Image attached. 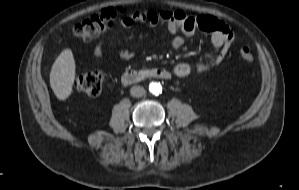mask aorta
Masks as SVG:
<instances>
[{"mask_svg":"<svg viewBox=\"0 0 299 190\" xmlns=\"http://www.w3.org/2000/svg\"><path fill=\"white\" fill-rule=\"evenodd\" d=\"M149 91L154 95H159L162 93V86L160 83L152 82L149 85Z\"/></svg>","mask_w":299,"mask_h":190,"instance_id":"obj_1","label":"aorta"}]
</instances>
